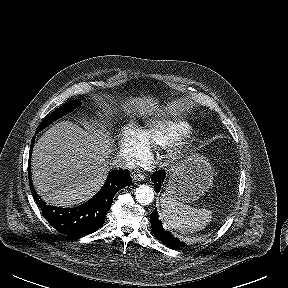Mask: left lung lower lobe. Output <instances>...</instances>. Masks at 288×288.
Segmentation results:
<instances>
[{
    "mask_svg": "<svg viewBox=\"0 0 288 288\" xmlns=\"http://www.w3.org/2000/svg\"><path fill=\"white\" fill-rule=\"evenodd\" d=\"M165 176V171H158L152 175L151 180L154 183L156 192L160 191ZM150 222L154 235L166 246L173 249L186 246L184 242H180L179 239L173 237L170 232L164 230L156 209L150 215Z\"/></svg>",
    "mask_w": 288,
    "mask_h": 288,
    "instance_id": "left-lung-lower-lobe-1",
    "label": "left lung lower lobe"
}]
</instances>
